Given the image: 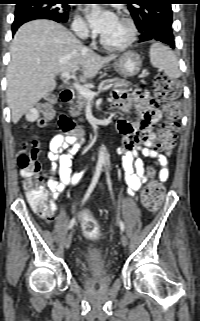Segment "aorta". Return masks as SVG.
Listing matches in <instances>:
<instances>
[{
  "label": "aorta",
  "mask_w": 200,
  "mask_h": 321,
  "mask_svg": "<svg viewBox=\"0 0 200 321\" xmlns=\"http://www.w3.org/2000/svg\"><path fill=\"white\" fill-rule=\"evenodd\" d=\"M106 162V153H105V147L102 146L99 150V155H98V163L99 164H104Z\"/></svg>",
  "instance_id": "762f6f07"
}]
</instances>
